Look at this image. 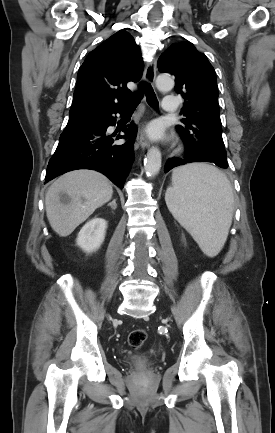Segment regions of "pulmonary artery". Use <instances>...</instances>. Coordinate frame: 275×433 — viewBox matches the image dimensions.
Wrapping results in <instances>:
<instances>
[{"instance_id":"e3ab8cb5","label":"pulmonary artery","mask_w":275,"mask_h":433,"mask_svg":"<svg viewBox=\"0 0 275 433\" xmlns=\"http://www.w3.org/2000/svg\"><path fill=\"white\" fill-rule=\"evenodd\" d=\"M178 109V100L174 95H166L162 101V110L165 113H174Z\"/></svg>"}]
</instances>
